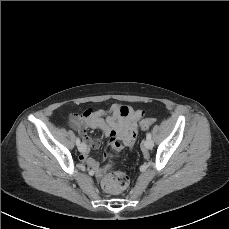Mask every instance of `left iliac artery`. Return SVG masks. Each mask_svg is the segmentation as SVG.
<instances>
[{"label":"left iliac artery","mask_w":229,"mask_h":229,"mask_svg":"<svg viewBox=\"0 0 229 229\" xmlns=\"http://www.w3.org/2000/svg\"><path fill=\"white\" fill-rule=\"evenodd\" d=\"M146 137H147V139H151V133L148 132V133L146 134Z\"/></svg>","instance_id":"obj_1"}]
</instances>
